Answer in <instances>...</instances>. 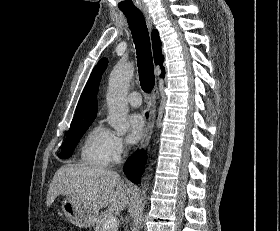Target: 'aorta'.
Wrapping results in <instances>:
<instances>
[{"label":"aorta","instance_id":"aorta-1","mask_svg":"<svg viewBox=\"0 0 280 231\" xmlns=\"http://www.w3.org/2000/svg\"><path fill=\"white\" fill-rule=\"evenodd\" d=\"M133 76L134 68L132 64H117V66L113 68L108 82L106 96L108 108L107 121L111 127L116 129L119 135H123V133H126L129 129L127 94ZM146 179H148V177H146ZM147 185H149V183L143 185L142 197L139 199L136 209H134L131 231H140L142 211L146 203V197H144V195L147 191Z\"/></svg>","mask_w":280,"mask_h":231}]
</instances>
